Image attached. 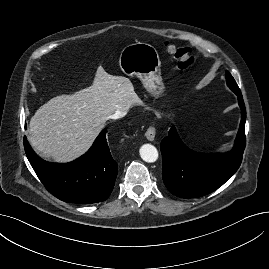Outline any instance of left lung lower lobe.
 Wrapping results in <instances>:
<instances>
[{
	"label": "left lung lower lobe",
	"mask_w": 269,
	"mask_h": 269,
	"mask_svg": "<svg viewBox=\"0 0 269 269\" xmlns=\"http://www.w3.org/2000/svg\"><path fill=\"white\" fill-rule=\"evenodd\" d=\"M241 108V122L232 151L203 154L187 148L172 127L160 145L162 178L167 189L182 198L207 195L222 186L239 168L246 145V109L241 92H234Z\"/></svg>",
	"instance_id": "0a47b994"
}]
</instances>
